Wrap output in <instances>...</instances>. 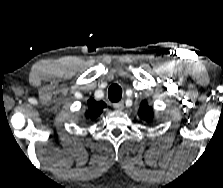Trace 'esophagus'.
<instances>
[{"mask_svg":"<svg viewBox=\"0 0 223 188\" xmlns=\"http://www.w3.org/2000/svg\"><path fill=\"white\" fill-rule=\"evenodd\" d=\"M113 108L116 110H122L124 108V102L120 101L113 104Z\"/></svg>","mask_w":223,"mask_h":188,"instance_id":"34e87169","label":"esophagus"}]
</instances>
